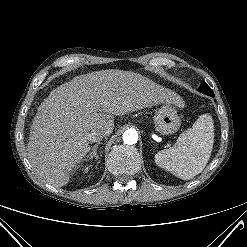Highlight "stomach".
I'll list each match as a JSON object with an SVG mask.
<instances>
[{
    "label": "stomach",
    "mask_w": 247,
    "mask_h": 247,
    "mask_svg": "<svg viewBox=\"0 0 247 247\" xmlns=\"http://www.w3.org/2000/svg\"><path fill=\"white\" fill-rule=\"evenodd\" d=\"M155 129L160 135L174 134L181 125V119L170 103L163 105L154 116Z\"/></svg>",
    "instance_id": "1"
}]
</instances>
